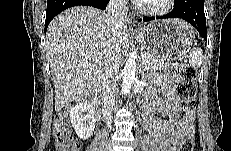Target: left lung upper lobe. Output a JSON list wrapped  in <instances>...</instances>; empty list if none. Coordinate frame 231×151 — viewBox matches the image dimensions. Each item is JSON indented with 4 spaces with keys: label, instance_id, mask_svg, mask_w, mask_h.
Segmentation results:
<instances>
[{
    "label": "left lung upper lobe",
    "instance_id": "obj_1",
    "mask_svg": "<svg viewBox=\"0 0 231 151\" xmlns=\"http://www.w3.org/2000/svg\"><path fill=\"white\" fill-rule=\"evenodd\" d=\"M181 0H175V7H177L178 5H179V2H180Z\"/></svg>",
    "mask_w": 231,
    "mask_h": 151
}]
</instances>
